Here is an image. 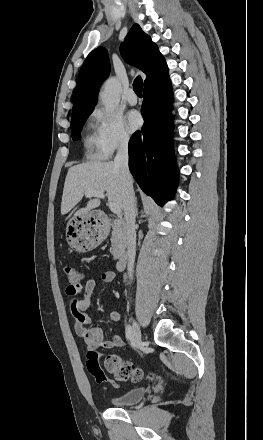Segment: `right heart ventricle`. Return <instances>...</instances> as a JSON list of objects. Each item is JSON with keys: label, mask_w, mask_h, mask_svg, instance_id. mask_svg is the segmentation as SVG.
Wrapping results in <instances>:
<instances>
[{"label": "right heart ventricle", "mask_w": 263, "mask_h": 440, "mask_svg": "<svg viewBox=\"0 0 263 440\" xmlns=\"http://www.w3.org/2000/svg\"><path fill=\"white\" fill-rule=\"evenodd\" d=\"M85 154L90 159H101L103 154L97 139L96 128L90 126L89 131L84 140Z\"/></svg>", "instance_id": "e07e8e85"}]
</instances>
